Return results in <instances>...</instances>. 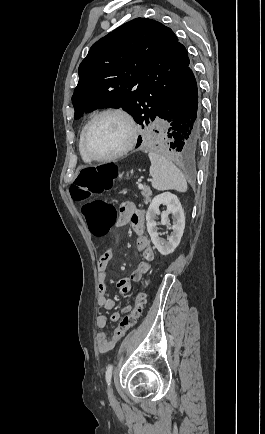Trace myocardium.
<instances>
[{
  "label": "myocardium",
  "mask_w": 265,
  "mask_h": 434,
  "mask_svg": "<svg viewBox=\"0 0 265 434\" xmlns=\"http://www.w3.org/2000/svg\"><path fill=\"white\" fill-rule=\"evenodd\" d=\"M107 114L120 115L127 121L128 125H129V131H130L129 139H128L127 144L121 150L116 152L115 154H112V155L106 156V157H96V156L92 155L87 149V146H86L87 137L89 136L90 131H91L94 123L99 118H101L102 116L107 115ZM137 139H138V126H137L136 121H135L134 117L132 116V114L123 107L112 106V107H107V108H104V109L98 111L88 121V123L85 126L84 133L80 139V150H81L82 155L92 163H107V162L115 161L117 159H120V158L126 156L135 147V145L137 143Z\"/></svg>",
  "instance_id": "1"
}]
</instances>
